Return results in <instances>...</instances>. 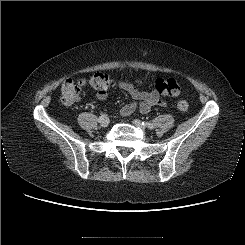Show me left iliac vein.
<instances>
[{
    "label": "left iliac vein",
    "mask_w": 245,
    "mask_h": 245,
    "mask_svg": "<svg viewBox=\"0 0 245 245\" xmlns=\"http://www.w3.org/2000/svg\"><path fill=\"white\" fill-rule=\"evenodd\" d=\"M133 124H134L136 127H138L139 129L143 130V131L146 129V126L143 125L142 122H141L140 120H138V119H134V120H133Z\"/></svg>",
    "instance_id": "4c4485c4"
}]
</instances>
